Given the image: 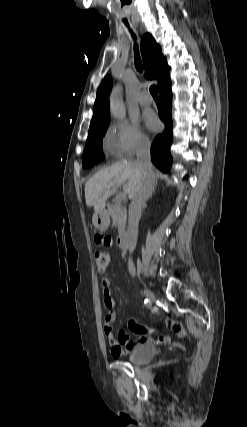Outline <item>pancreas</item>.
I'll return each instance as SVG.
<instances>
[{"instance_id": "cf45deb5", "label": "pancreas", "mask_w": 247, "mask_h": 427, "mask_svg": "<svg viewBox=\"0 0 247 427\" xmlns=\"http://www.w3.org/2000/svg\"><path fill=\"white\" fill-rule=\"evenodd\" d=\"M109 215L113 220V224L118 227L119 235L123 234L126 227L127 211L121 204V201L115 200L109 208Z\"/></svg>"}]
</instances>
